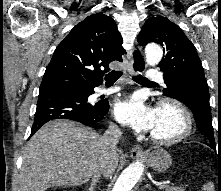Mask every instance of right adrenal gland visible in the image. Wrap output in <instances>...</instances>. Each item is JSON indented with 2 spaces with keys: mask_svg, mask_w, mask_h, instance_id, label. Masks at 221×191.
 I'll return each instance as SVG.
<instances>
[{
  "mask_svg": "<svg viewBox=\"0 0 221 191\" xmlns=\"http://www.w3.org/2000/svg\"><path fill=\"white\" fill-rule=\"evenodd\" d=\"M93 190H94V186L91 185V186L89 187L88 191H93Z\"/></svg>",
  "mask_w": 221,
  "mask_h": 191,
  "instance_id": "right-adrenal-gland-1",
  "label": "right adrenal gland"
}]
</instances>
